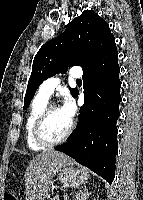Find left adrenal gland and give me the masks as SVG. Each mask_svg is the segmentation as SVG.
Here are the masks:
<instances>
[{
	"instance_id": "obj_1",
	"label": "left adrenal gland",
	"mask_w": 143,
	"mask_h": 200,
	"mask_svg": "<svg viewBox=\"0 0 143 200\" xmlns=\"http://www.w3.org/2000/svg\"><path fill=\"white\" fill-rule=\"evenodd\" d=\"M90 194L91 192H89L88 189L85 187L84 189L76 192L74 200H87Z\"/></svg>"
}]
</instances>
